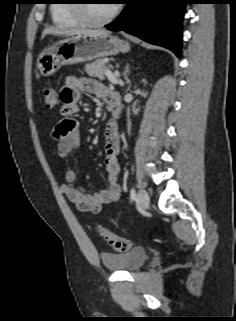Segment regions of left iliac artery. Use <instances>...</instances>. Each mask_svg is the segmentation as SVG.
I'll use <instances>...</instances> for the list:
<instances>
[{
	"instance_id": "obj_1",
	"label": "left iliac artery",
	"mask_w": 236,
	"mask_h": 321,
	"mask_svg": "<svg viewBox=\"0 0 236 321\" xmlns=\"http://www.w3.org/2000/svg\"><path fill=\"white\" fill-rule=\"evenodd\" d=\"M136 191H135V189L134 188H132L131 190H130V198H131V200H135L136 199Z\"/></svg>"
}]
</instances>
